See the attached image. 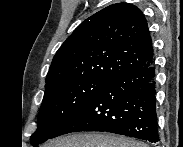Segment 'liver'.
<instances>
[{"instance_id": "6515ba94", "label": "liver", "mask_w": 183, "mask_h": 147, "mask_svg": "<svg viewBox=\"0 0 183 147\" xmlns=\"http://www.w3.org/2000/svg\"><path fill=\"white\" fill-rule=\"evenodd\" d=\"M45 147H147L136 140L106 133L73 134L58 138Z\"/></svg>"}]
</instances>
